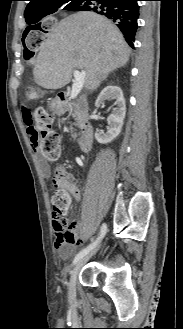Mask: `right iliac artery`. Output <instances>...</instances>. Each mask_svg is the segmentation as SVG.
Wrapping results in <instances>:
<instances>
[{"mask_svg": "<svg viewBox=\"0 0 183 329\" xmlns=\"http://www.w3.org/2000/svg\"><path fill=\"white\" fill-rule=\"evenodd\" d=\"M106 232H107V226L105 223H103L101 226L99 237L92 244H90L88 247H86L85 249L80 251L75 256L73 264H76L82 257H84L87 253H89L100 242V240L105 236Z\"/></svg>", "mask_w": 183, "mask_h": 329, "instance_id": "82829eb1", "label": "right iliac artery"}]
</instances>
